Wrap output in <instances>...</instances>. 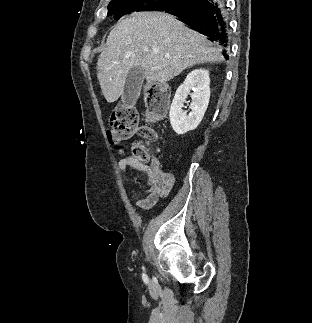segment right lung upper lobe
<instances>
[{
    "label": "right lung upper lobe",
    "mask_w": 312,
    "mask_h": 323,
    "mask_svg": "<svg viewBox=\"0 0 312 323\" xmlns=\"http://www.w3.org/2000/svg\"><path fill=\"white\" fill-rule=\"evenodd\" d=\"M166 10H168V9H166ZM166 10H160V11H166Z\"/></svg>",
    "instance_id": "right-lung-upper-lobe-1"
}]
</instances>
